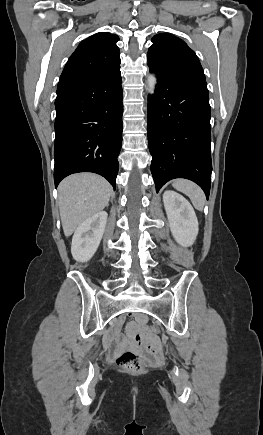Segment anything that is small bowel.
I'll use <instances>...</instances> for the list:
<instances>
[{"label": "small bowel", "instance_id": "c3829d8e", "mask_svg": "<svg viewBox=\"0 0 263 435\" xmlns=\"http://www.w3.org/2000/svg\"><path fill=\"white\" fill-rule=\"evenodd\" d=\"M147 321L148 318L145 315H139L137 317V322L141 325H145ZM144 339L146 341H142L141 336H132L131 341H129L125 336L119 334L116 337L115 347L117 349L125 348L128 346L136 347L138 350H142V354L144 356L150 355V359L152 361H161V343L159 341H155V332H146L144 334Z\"/></svg>", "mask_w": 263, "mask_h": 435}]
</instances>
